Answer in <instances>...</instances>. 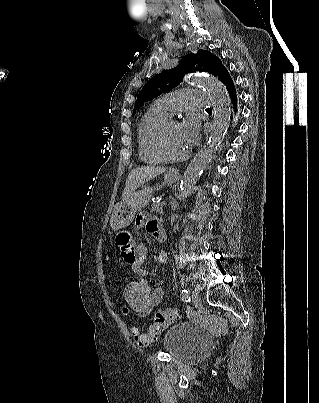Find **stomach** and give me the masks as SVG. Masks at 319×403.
<instances>
[{
  "label": "stomach",
  "mask_w": 319,
  "mask_h": 403,
  "mask_svg": "<svg viewBox=\"0 0 319 403\" xmlns=\"http://www.w3.org/2000/svg\"><path fill=\"white\" fill-rule=\"evenodd\" d=\"M178 179L177 174L166 172L163 185H171ZM153 187H144L142 190L133 192L126 200L114 207L110 219V226L113 230L125 228L131 224L137 212L149 202L153 192L158 190Z\"/></svg>",
  "instance_id": "1"
}]
</instances>
